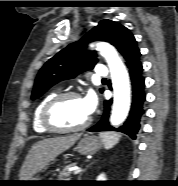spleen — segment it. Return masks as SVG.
Instances as JSON below:
<instances>
[{"instance_id":"1","label":"spleen","mask_w":178,"mask_h":186,"mask_svg":"<svg viewBox=\"0 0 178 186\" xmlns=\"http://www.w3.org/2000/svg\"><path fill=\"white\" fill-rule=\"evenodd\" d=\"M100 138L103 142L105 149H111L119 142L121 135L112 132H101Z\"/></svg>"}]
</instances>
